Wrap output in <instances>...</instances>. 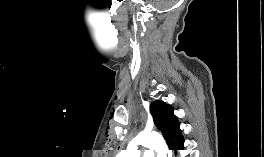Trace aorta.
Segmentation results:
<instances>
[{"mask_svg":"<svg viewBox=\"0 0 264 157\" xmlns=\"http://www.w3.org/2000/svg\"><path fill=\"white\" fill-rule=\"evenodd\" d=\"M147 146L157 152V157H170L169 150L164 140L156 133H141L128 145L127 149L119 154V157H139L138 146Z\"/></svg>","mask_w":264,"mask_h":157,"instance_id":"1","label":"aorta"}]
</instances>
